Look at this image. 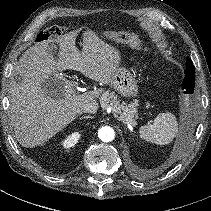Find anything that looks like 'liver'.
Returning <instances> with one entry per match:
<instances>
[{
	"label": "liver",
	"instance_id": "6515ba94",
	"mask_svg": "<svg viewBox=\"0 0 211 211\" xmlns=\"http://www.w3.org/2000/svg\"><path fill=\"white\" fill-rule=\"evenodd\" d=\"M79 31H70L54 40L60 47L57 59L48 52L49 41H45L27 49L14 68L9 96L10 121L24 147L32 148L46 142L81 114L86 103H97L102 93L98 89L66 95L65 85L71 83L62 79L64 89L57 98L51 97L43 85L51 77H59L58 72L80 71L94 81L112 85L120 68L119 51L91 29H86L80 53L75 42Z\"/></svg>",
	"mask_w": 211,
	"mask_h": 211
}]
</instances>
